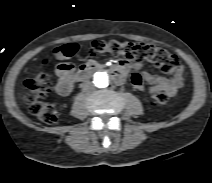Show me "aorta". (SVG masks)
<instances>
[{"label":"aorta","mask_w":212,"mask_h":183,"mask_svg":"<svg viewBox=\"0 0 212 183\" xmlns=\"http://www.w3.org/2000/svg\"><path fill=\"white\" fill-rule=\"evenodd\" d=\"M109 82H110L109 75L104 70L96 71L93 74L92 80H91V83L93 84V86L101 90L107 88L109 85Z\"/></svg>","instance_id":"aorta-1"}]
</instances>
